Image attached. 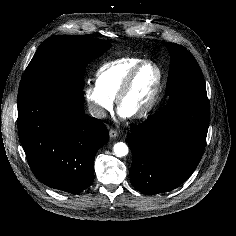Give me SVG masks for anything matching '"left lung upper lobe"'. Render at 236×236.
Wrapping results in <instances>:
<instances>
[{
	"label": "left lung upper lobe",
	"instance_id": "obj_1",
	"mask_svg": "<svg viewBox=\"0 0 236 236\" xmlns=\"http://www.w3.org/2000/svg\"><path fill=\"white\" fill-rule=\"evenodd\" d=\"M169 49L171 65L166 94L175 99L190 94H207L201 69L193 55L183 46L164 42Z\"/></svg>",
	"mask_w": 236,
	"mask_h": 236
}]
</instances>
